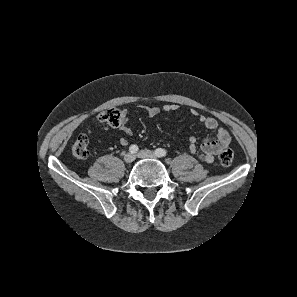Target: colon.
I'll use <instances>...</instances> for the list:
<instances>
[{
    "label": "colon",
    "mask_w": 297,
    "mask_h": 297,
    "mask_svg": "<svg viewBox=\"0 0 297 297\" xmlns=\"http://www.w3.org/2000/svg\"><path fill=\"white\" fill-rule=\"evenodd\" d=\"M123 112L118 109H108L99 115V120L112 127H118L123 122ZM72 153L78 159H84L89 155V139L85 134H81L72 146ZM234 159L231 149H224L219 154V162L222 166H230Z\"/></svg>",
    "instance_id": "obj_1"
}]
</instances>
